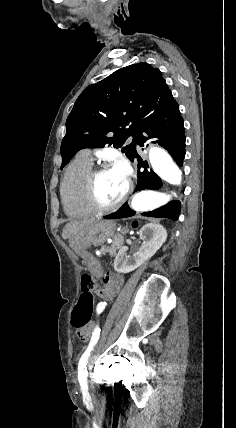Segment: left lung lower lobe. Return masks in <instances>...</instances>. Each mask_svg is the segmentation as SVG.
<instances>
[{"label": "left lung lower lobe", "mask_w": 236, "mask_h": 428, "mask_svg": "<svg viewBox=\"0 0 236 428\" xmlns=\"http://www.w3.org/2000/svg\"><path fill=\"white\" fill-rule=\"evenodd\" d=\"M150 138L157 139L156 142L170 153L179 166H182V161L185 157V129L179 106L175 100L159 116L152 119L142 128L138 135L137 143L143 146ZM137 160L138 168H141V170L138 171V183L134 192L146 189H160L162 187L161 179L152 170L147 169L148 165L142 162L140 156L137 157ZM180 206L179 201H171L159 209L142 213V215L148 217H168L172 220H177ZM134 215L135 211L130 209L128 204H124L118 211L104 218L120 219Z\"/></svg>", "instance_id": "0a47b994"}]
</instances>
